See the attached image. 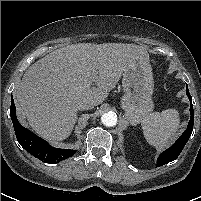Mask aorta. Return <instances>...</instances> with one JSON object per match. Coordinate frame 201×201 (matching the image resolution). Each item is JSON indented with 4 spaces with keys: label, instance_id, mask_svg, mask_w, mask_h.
<instances>
[{
    "label": "aorta",
    "instance_id": "1",
    "mask_svg": "<svg viewBox=\"0 0 201 201\" xmlns=\"http://www.w3.org/2000/svg\"><path fill=\"white\" fill-rule=\"evenodd\" d=\"M102 123L107 127H113L117 124V115L113 112L104 113L101 116Z\"/></svg>",
    "mask_w": 201,
    "mask_h": 201
}]
</instances>
